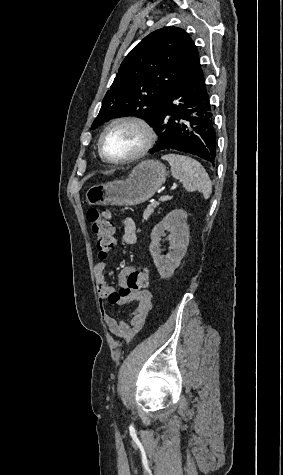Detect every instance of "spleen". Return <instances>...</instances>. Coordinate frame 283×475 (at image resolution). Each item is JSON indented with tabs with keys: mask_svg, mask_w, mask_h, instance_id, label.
I'll return each instance as SVG.
<instances>
[{
	"mask_svg": "<svg viewBox=\"0 0 283 475\" xmlns=\"http://www.w3.org/2000/svg\"><path fill=\"white\" fill-rule=\"evenodd\" d=\"M162 160H167L171 166L173 178L180 180L187 192H201L205 200L210 198L211 180L197 160H192L188 156H178V154H167V156H162Z\"/></svg>",
	"mask_w": 283,
	"mask_h": 475,
	"instance_id": "spleen-1",
	"label": "spleen"
}]
</instances>
